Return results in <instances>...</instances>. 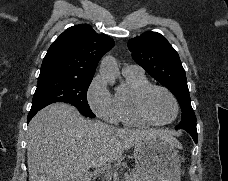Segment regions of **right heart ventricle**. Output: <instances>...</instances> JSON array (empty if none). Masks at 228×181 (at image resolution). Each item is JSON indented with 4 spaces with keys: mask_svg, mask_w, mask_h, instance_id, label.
I'll return each mask as SVG.
<instances>
[{
    "mask_svg": "<svg viewBox=\"0 0 228 181\" xmlns=\"http://www.w3.org/2000/svg\"><path fill=\"white\" fill-rule=\"evenodd\" d=\"M108 75L110 81L119 82L114 96L118 120L130 125L143 124L134 112L133 103L138 91L149 85L148 79L144 75H129L127 70L118 68L117 73Z\"/></svg>",
    "mask_w": 228,
    "mask_h": 181,
    "instance_id": "right-heart-ventricle-1",
    "label": "right heart ventricle"
}]
</instances>
